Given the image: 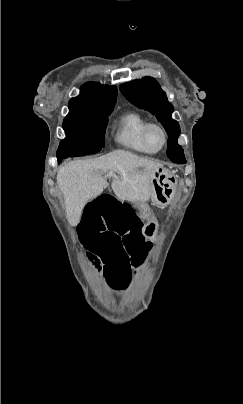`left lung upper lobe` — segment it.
Instances as JSON below:
<instances>
[{"mask_svg": "<svg viewBox=\"0 0 243 404\" xmlns=\"http://www.w3.org/2000/svg\"><path fill=\"white\" fill-rule=\"evenodd\" d=\"M122 94L137 107L145 109L156 116L169 136L166 154L171 161L186 162L182 147L177 143L180 127L172 119L173 106L160 85L151 77H144L133 82L120 85Z\"/></svg>", "mask_w": 243, "mask_h": 404, "instance_id": "left-lung-upper-lobe-1", "label": "left lung upper lobe"}]
</instances>
